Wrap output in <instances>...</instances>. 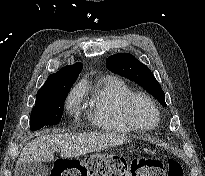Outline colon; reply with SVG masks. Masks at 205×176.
Masks as SVG:
<instances>
[{
    "label": "colon",
    "mask_w": 205,
    "mask_h": 176,
    "mask_svg": "<svg viewBox=\"0 0 205 176\" xmlns=\"http://www.w3.org/2000/svg\"><path fill=\"white\" fill-rule=\"evenodd\" d=\"M50 176H183V168L169 159L167 168L159 160L141 157L128 161L122 157L91 154L83 159L58 157Z\"/></svg>",
    "instance_id": "5ec220e1"
}]
</instances>
